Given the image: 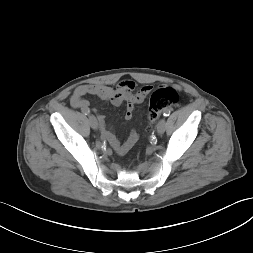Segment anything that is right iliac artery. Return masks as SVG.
<instances>
[{"label":"right iliac artery","mask_w":253,"mask_h":253,"mask_svg":"<svg viewBox=\"0 0 253 253\" xmlns=\"http://www.w3.org/2000/svg\"><path fill=\"white\" fill-rule=\"evenodd\" d=\"M85 115H88L90 113V110H86L83 112Z\"/></svg>","instance_id":"obj_1"}]
</instances>
